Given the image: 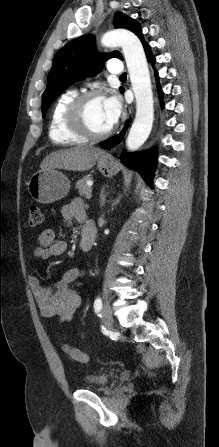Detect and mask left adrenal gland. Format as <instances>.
<instances>
[{"label":"left adrenal gland","mask_w":219,"mask_h":447,"mask_svg":"<svg viewBox=\"0 0 219 447\" xmlns=\"http://www.w3.org/2000/svg\"><path fill=\"white\" fill-rule=\"evenodd\" d=\"M100 204L101 206H103L105 204V200H106V195L104 194V188L101 190V194H100Z\"/></svg>","instance_id":"1"}]
</instances>
